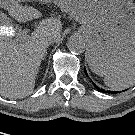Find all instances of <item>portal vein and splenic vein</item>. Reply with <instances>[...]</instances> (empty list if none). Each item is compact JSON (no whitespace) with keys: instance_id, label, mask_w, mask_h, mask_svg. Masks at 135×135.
I'll return each mask as SVG.
<instances>
[{"instance_id":"1","label":"portal vein and splenic vein","mask_w":135,"mask_h":135,"mask_svg":"<svg viewBox=\"0 0 135 135\" xmlns=\"http://www.w3.org/2000/svg\"><path fill=\"white\" fill-rule=\"evenodd\" d=\"M28 29H23L19 32V38H26ZM0 35L14 36V31L10 27H2L0 29Z\"/></svg>"}]
</instances>
